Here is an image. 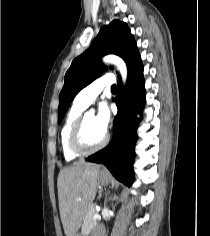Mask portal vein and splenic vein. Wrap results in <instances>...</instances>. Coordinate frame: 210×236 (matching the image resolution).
Masks as SVG:
<instances>
[{"label": "portal vein and splenic vein", "mask_w": 210, "mask_h": 236, "mask_svg": "<svg viewBox=\"0 0 210 236\" xmlns=\"http://www.w3.org/2000/svg\"><path fill=\"white\" fill-rule=\"evenodd\" d=\"M93 219L95 220L101 219L100 214L96 213L95 215H93Z\"/></svg>", "instance_id": "portal-vein-and-splenic-vein-1"}]
</instances>
